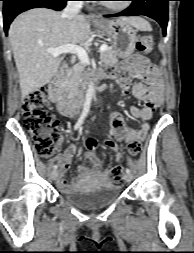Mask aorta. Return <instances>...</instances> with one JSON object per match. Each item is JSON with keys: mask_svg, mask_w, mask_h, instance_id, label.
I'll return each instance as SVG.
<instances>
[{"mask_svg": "<svg viewBox=\"0 0 194 253\" xmlns=\"http://www.w3.org/2000/svg\"><path fill=\"white\" fill-rule=\"evenodd\" d=\"M93 95H94V86H93V83L91 82L88 85V88H87V91H86V96H85V101H84V106H83V112H85V113L89 112Z\"/></svg>", "mask_w": 194, "mask_h": 253, "instance_id": "aorta-1", "label": "aorta"}]
</instances>
